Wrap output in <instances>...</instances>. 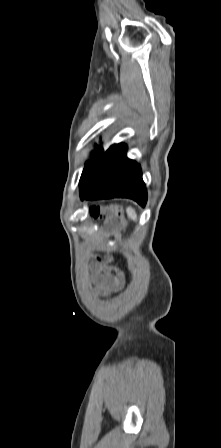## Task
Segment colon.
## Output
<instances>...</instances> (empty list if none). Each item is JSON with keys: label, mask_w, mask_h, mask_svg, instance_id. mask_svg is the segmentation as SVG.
I'll use <instances>...</instances> for the list:
<instances>
[{"label": "colon", "mask_w": 221, "mask_h": 448, "mask_svg": "<svg viewBox=\"0 0 221 448\" xmlns=\"http://www.w3.org/2000/svg\"><path fill=\"white\" fill-rule=\"evenodd\" d=\"M110 210H111L112 215L115 216L119 221L123 220L122 210H121V208L119 206H111ZM92 213L93 214H99L100 212H99L98 209L94 208L92 210ZM100 259L103 260V261H111L112 260V258L109 257V256L100 257Z\"/></svg>", "instance_id": "5ec220e1"}]
</instances>
